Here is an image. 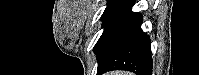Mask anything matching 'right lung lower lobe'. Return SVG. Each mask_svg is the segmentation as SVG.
I'll use <instances>...</instances> for the list:
<instances>
[{
	"label": "right lung lower lobe",
	"mask_w": 199,
	"mask_h": 75,
	"mask_svg": "<svg viewBox=\"0 0 199 75\" xmlns=\"http://www.w3.org/2000/svg\"><path fill=\"white\" fill-rule=\"evenodd\" d=\"M133 5L134 0L128 2L109 26L95 51L98 75L111 70H128L136 75H151V42L140 27L141 14L131 11Z\"/></svg>",
	"instance_id": "98d812e1"
}]
</instances>
